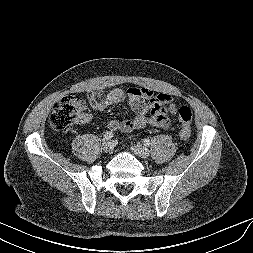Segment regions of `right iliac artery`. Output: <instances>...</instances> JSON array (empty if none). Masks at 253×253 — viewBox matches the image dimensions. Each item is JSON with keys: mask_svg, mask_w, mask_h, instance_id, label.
Returning a JSON list of instances; mask_svg holds the SVG:
<instances>
[{"mask_svg": "<svg viewBox=\"0 0 253 253\" xmlns=\"http://www.w3.org/2000/svg\"><path fill=\"white\" fill-rule=\"evenodd\" d=\"M113 136H114L113 132L107 131V132H105V134H104V139L109 140V139H111Z\"/></svg>", "mask_w": 253, "mask_h": 253, "instance_id": "obj_1", "label": "right iliac artery"}]
</instances>
